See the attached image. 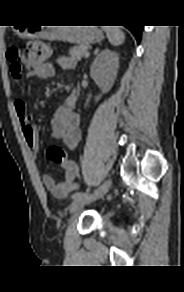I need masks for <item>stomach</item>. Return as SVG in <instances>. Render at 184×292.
Returning a JSON list of instances; mask_svg holds the SVG:
<instances>
[{"label": "stomach", "mask_w": 184, "mask_h": 292, "mask_svg": "<svg viewBox=\"0 0 184 292\" xmlns=\"http://www.w3.org/2000/svg\"><path fill=\"white\" fill-rule=\"evenodd\" d=\"M19 34L25 38L44 37L79 45H89L102 40L103 33L96 27H60L52 31H39V28H21Z\"/></svg>", "instance_id": "1"}]
</instances>
